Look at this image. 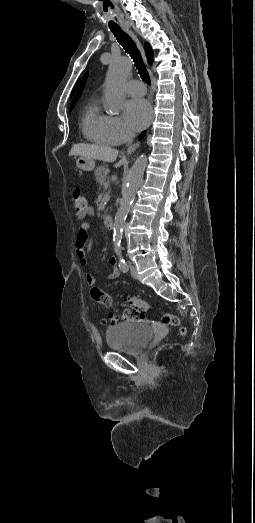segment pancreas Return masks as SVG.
Listing matches in <instances>:
<instances>
[{
  "label": "pancreas",
  "mask_w": 255,
  "mask_h": 523,
  "mask_svg": "<svg viewBox=\"0 0 255 523\" xmlns=\"http://www.w3.org/2000/svg\"><path fill=\"white\" fill-rule=\"evenodd\" d=\"M108 172L109 170L108 168H105V166H100V168H97V170H95L96 182L102 184L105 180H107Z\"/></svg>",
  "instance_id": "cf45deb5"
}]
</instances>
